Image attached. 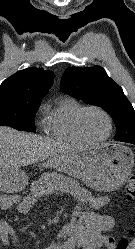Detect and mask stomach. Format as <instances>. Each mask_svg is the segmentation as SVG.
Instances as JSON below:
<instances>
[{
	"label": "stomach",
	"instance_id": "stomach-1",
	"mask_svg": "<svg viewBox=\"0 0 135 249\" xmlns=\"http://www.w3.org/2000/svg\"><path fill=\"white\" fill-rule=\"evenodd\" d=\"M135 162V154L129 147L120 144H102L96 147L73 149L63 155L50 158L43 167H53L57 172L46 185L57 187L59 180H65L60 173L80 179L91 189L111 192L126 182ZM13 189L22 188L28 180L25 171L18 168L5 169L3 178Z\"/></svg>",
	"mask_w": 135,
	"mask_h": 249
}]
</instances>
